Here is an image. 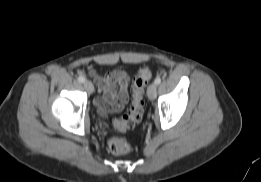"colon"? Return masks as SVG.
I'll return each mask as SVG.
<instances>
[{"label":"colon","instance_id":"1","mask_svg":"<svg viewBox=\"0 0 261 182\" xmlns=\"http://www.w3.org/2000/svg\"><path fill=\"white\" fill-rule=\"evenodd\" d=\"M151 69L148 66L141 67L132 81V99L127 113L114 122V128L118 131H126L134 128L144 114V91L151 79ZM108 149L112 154L124 155L131 151L130 144L120 137H112L108 141Z\"/></svg>","mask_w":261,"mask_h":182}]
</instances>
